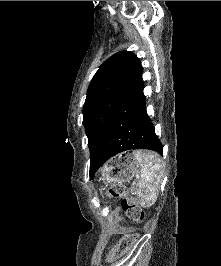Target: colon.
Here are the masks:
<instances>
[{
    "mask_svg": "<svg viewBox=\"0 0 221 266\" xmlns=\"http://www.w3.org/2000/svg\"><path fill=\"white\" fill-rule=\"evenodd\" d=\"M124 186L122 184H114L107 190L109 197H122L121 206L126 216L133 222L142 223L144 220V212L136 204L135 200L124 194ZM138 234L128 233L124 235L116 245L111 249L108 259L116 260L126 254L136 243Z\"/></svg>",
    "mask_w": 221,
    "mask_h": 266,
    "instance_id": "5ec220e1",
    "label": "colon"
}]
</instances>
